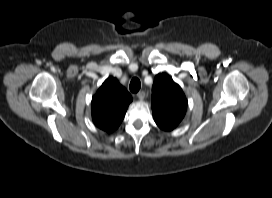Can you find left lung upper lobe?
<instances>
[{"instance_id":"left-lung-upper-lobe-1","label":"left lung upper lobe","mask_w":272,"mask_h":198,"mask_svg":"<svg viewBox=\"0 0 272 198\" xmlns=\"http://www.w3.org/2000/svg\"><path fill=\"white\" fill-rule=\"evenodd\" d=\"M152 112L163 130H173L184 118L187 100L181 89L167 74H158L152 86Z\"/></svg>"}]
</instances>
